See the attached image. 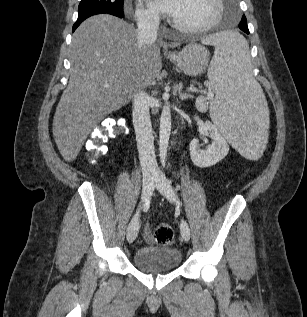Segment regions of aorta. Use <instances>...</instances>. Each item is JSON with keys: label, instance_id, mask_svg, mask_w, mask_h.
Here are the masks:
<instances>
[{"label": "aorta", "instance_id": "obj_1", "mask_svg": "<svg viewBox=\"0 0 307 317\" xmlns=\"http://www.w3.org/2000/svg\"><path fill=\"white\" fill-rule=\"evenodd\" d=\"M163 99L166 104L163 107L160 117V128H159V157L161 163L164 164L167 156V149L171 133V110L169 105V94L164 93Z\"/></svg>", "mask_w": 307, "mask_h": 317}]
</instances>
